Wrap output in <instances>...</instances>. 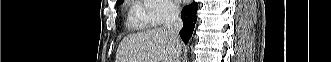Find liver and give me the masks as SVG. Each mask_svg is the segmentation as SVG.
<instances>
[{
	"label": "liver",
	"mask_w": 331,
	"mask_h": 62,
	"mask_svg": "<svg viewBox=\"0 0 331 62\" xmlns=\"http://www.w3.org/2000/svg\"><path fill=\"white\" fill-rule=\"evenodd\" d=\"M181 49L165 28H154L123 38L115 62H178Z\"/></svg>",
	"instance_id": "obj_1"
}]
</instances>
